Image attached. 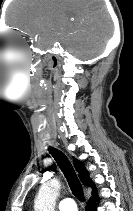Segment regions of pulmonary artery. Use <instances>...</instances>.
Returning <instances> with one entry per match:
<instances>
[{"mask_svg": "<svg viewBox=\"0 0 133 211\" xmlns=\"http://www.w3.org/2000/svg\"><path fill=\"white\" fill-rule=\"evenodd\" d=\"M59 211H77V206L72 198H64L58 203Z\"/></svg>", "mask_w": 133, "mask_h": 211, "instance_id": "e3ab8cb5", "label": "pulmonary artery"}]
</instances>
